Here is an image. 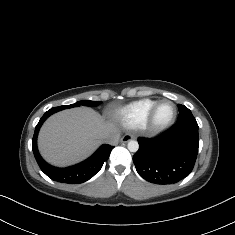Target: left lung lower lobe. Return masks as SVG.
<instances>
[{
	"mask_svg": "<svg viewBox=\"0 0 235 235\" xmlns=\"http://www.w3.org/2000/svg\"><path fill=\"white\" fill-rule=\"evenodd\" d=\"M138 143L133 162L139 175L152 183H176L187 177L195 165L198 125L175 124L156 138H138Z\"/></svg>",
	"mask_w": 235,
	"mask_h": 235,
	"instance_id": "obj_1",
	"label": "left lung lower lobe"
}]
</instances>
